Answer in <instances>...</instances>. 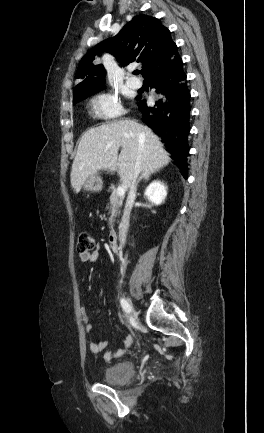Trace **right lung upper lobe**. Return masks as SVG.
<instances>
[{
    "instance_id": "right-lung-upper-lobe-1",
    "label": "right lung upper lobe",
    "mask_w": 264,
    "mask_h": 433,
    "mask_svg": "<svg viewBox=\"0 0 264 433\" xmlns=\"http://www.w3.org/2000/svg\"><path fill=\"white\" fill-rule=\"evenodd\" d=\"M102 52L112 54L122 66L133 61L142 62L143 76L178 55L170 31L158 19L135 16L116 36L99 43L81 59L76 73L81 82L74 87L73 101L103 88L104 68L92 63L95 55Z\"/></svg>"
}]
</instances>
